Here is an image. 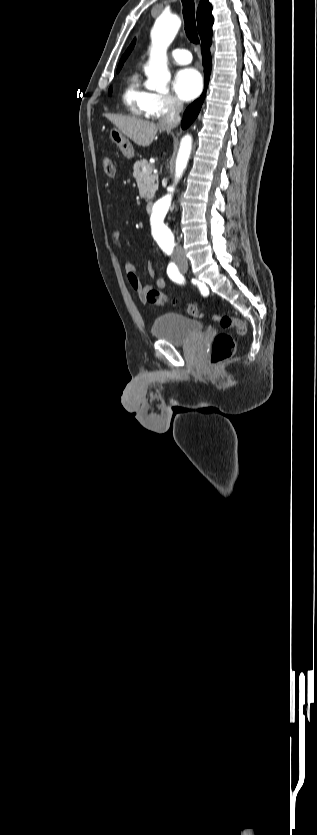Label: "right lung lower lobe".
Listing matches in <instances>:
<instances>
[{
  "label": "right lung lower lobe",
  "instance_id": "obj_1",
  "mask_svg": "<svg viewBox=\"0 0 317 835\" xmlns=\"http://www.w3.org/2000/svg\"><path fill=\"white\" fill-rule=\"evenodd\" d=\"M211 42H212V34L210 36H208L207 38H205L204 40H202L201 50H202L203 65H204V75H205L204 89L205 90L203 91L202 95L197 100H195L184 112L183 121H182V127L184 129L187 128L195 120V118L199 114V111L201 109V106L203 104V101H204V98H205V95H206V89H207V86H208L209 77H210V74H211V67H212V60H211V54H210Z\"/></svg>",
  "mask_w": 317,
  "mask_h": 835
}]
</instances>
